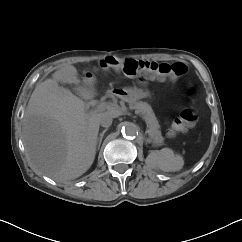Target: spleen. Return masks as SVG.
I'll return each mask as SVG.
<instances>
[{"label":"spleen","mask_w":242,"mask_h":242,"mask_svg":"<svg viewBox=\"0 0 242 242\" xmlns=\"http://www.w3.org/2000/svg\"><path fill=\"white\" fill-rule=\"evenodd\" d=\"M181 160L182 158L180 156L175 155L174 152L168 148L154 151L147 158V162L150 165H154L166 172L175 170L177 168V161Z\"/></svg>","instance_id":"spleen-1"}]
</instances>
